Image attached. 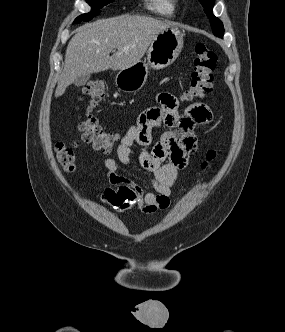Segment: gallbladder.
<instances>
[{"mask_svg": "<svg viewBox=\"0 0 285 332\" xmlns=\"http://www.w3.org/2000/svg\"><path fill=\"white\" fill-rule=\"evenodd\" d=\"M89 79H90V75L89 74L82 75V76L78 77L75 80L74 84H75V86L80 87V86L85 85Z\"/></svg>", "mask_w": 285, "mask_h": 332, "instance_id": "obj_1", "label": "gallbladder"}]
</instances>
